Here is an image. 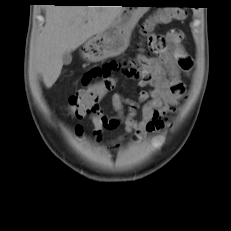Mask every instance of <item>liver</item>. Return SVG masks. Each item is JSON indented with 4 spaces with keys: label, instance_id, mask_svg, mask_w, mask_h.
<instances>
[{
    "label": "liver",
    "instance_id": "6515ba94",
    "mask_svg": "<svg viewBox=\"0 0 231 231\" xmlns=\"http://www.w3.org/2000/svg\"><path fill=\"white\" fill-rule=\"evenodd\" d=\"M122 9V6L46 7V24L38 38L34 60L47 88L53 86L61 73L63 54L103 32Z\"/></svg>",
    "mask_w": 231,
    "mask_h": 231
}]
</instances>
